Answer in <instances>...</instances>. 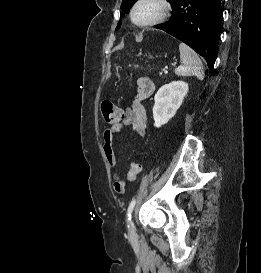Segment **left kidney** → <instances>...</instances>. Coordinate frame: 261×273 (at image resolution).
Listing matches in <instances>:
<instances>
[{"instance_id":"left-kidney-1","label":"left kidney","mask_w":261,"mask_h":273,"mask_svg":"<svg viewBox=\"0 0 261 273\" xmlns=\"http://www.w3.org/2000/svg\"><path fill=\"white\" fill-rule=\"evenodd\" d=\"M188 92V84L184 81H173L163 85L155 94L153 107L154 126L165 125L182 105Z\"/></svg>"}]
</instances>
